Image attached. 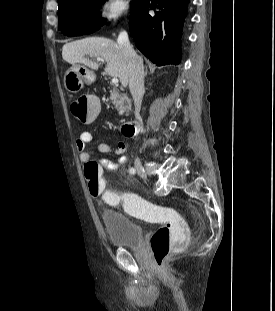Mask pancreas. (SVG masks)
Segmentation results:
<instances>
[{"label": "pancreas", "mask_w": 275, "mask_h": 311, "mask_svg": "<svg viewBox=\"0 0 275 311\" xmlns=\"http://www.w3.org/2000/svg\"><path fill=\"white\" fill-rule=\"evenodd\" d=\"M110 100L116 110L121 114H127L131 108L130 100L127 95L119 94L116 89L110 91Z\"/></svg>", "instance_id": "obj_1"}]
</instances>
